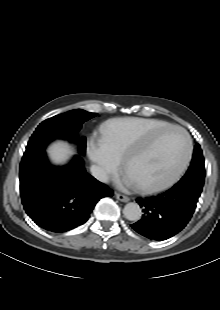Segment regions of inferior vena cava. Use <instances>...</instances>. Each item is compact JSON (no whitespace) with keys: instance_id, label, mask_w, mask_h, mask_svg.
Returning a JSON list of instances; mask_svg holds the SVG:
<instances>
[{"instance_id":"602c4592","label":"inferior vena cava","mask_w":220,"mask_h":310,"mask_svg":"<svg viewBox=\"0 0 220 310\" xmlns=\"http://www.w3.org/2000/svg\"><path fill=\"white\" fill-rule=\"evenodd\" d=\"M90 171L91 175L101 182H107L109 179L107 172L98 165H92Z\"/></svg>"}]
</instances>
